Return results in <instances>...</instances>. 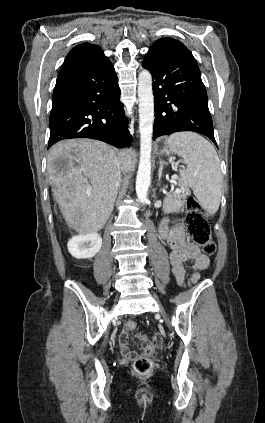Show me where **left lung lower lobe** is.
<instances>
[{
	"label": "left lung lower lobe",
	"instance_id": "0a47b994",
	"mask_svg": "<svg viewBox=\"0 0 265 423\" xmlns=\"http://www.w3.org/2000/svg\"><path fill=\"white\" fill-rule=\"evenodd\" d=\"M143 67L154 80L153 139L194 131L216 145L206 89L192 53L176 39L161 38L146 53Z\"/></svg>",
	"mask_w": 265,
	"mask_h": 423
}]
</instances>
